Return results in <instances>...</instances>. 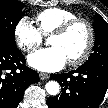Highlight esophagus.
<instances>
[{"label": "esophagus", "mask_w": 108, "mask_h": 108, "mask_svg": "<svg viewBox=\"0 0 108 108\" xmlns=\"http://www.w3.org/2000/svg\"><path fill=\"white\" fill-rule=\"evenodd\" d=\"M39 76L41 80H47L49 78V74L47 73H40Z\"/></svg>", "instance_id": "1"}]
</instances>
